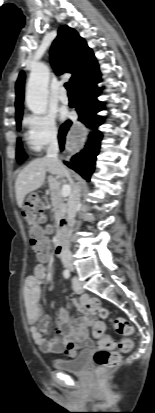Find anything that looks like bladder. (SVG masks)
<instances>
[{
	"instance_id": "1",
	"label": "bladder",
	"mask_w": 155,
	"mask_h": 413,
	"mask_svg": "<svg viewBox=\"0 0 155 413\" xmlns=\"http://www.w3.org/2000/svg\"><path fill=\"white\" fill-rule=\"evenodd\" d=\"M90 351L84 350L73 358L55 360V368L77 374H83L87 371L89 365Z\"/></svg>"
}]
</instances>
